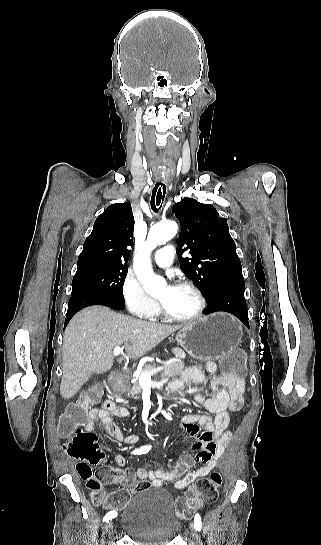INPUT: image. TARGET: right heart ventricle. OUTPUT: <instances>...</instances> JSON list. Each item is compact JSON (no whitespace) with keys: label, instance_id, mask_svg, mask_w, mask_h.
<instances>
[{"label":"right heart ventricle","instance_id":"right-heart-ventricle-1","mask_svg":"<svg viewBox=\"0 0 321 545\" xmlns=\"http://www.w3.org/2000/svg\"><path fill=\"white\" fill-rule=\"evenodd\" d=\"M161 317H162V315L160 313V310H158V312H157V314H156V316L154 318H161Z\"/></svg>","mask_w":321,"mask_h":545}]
</instances>
